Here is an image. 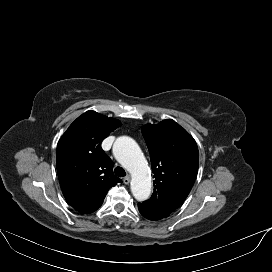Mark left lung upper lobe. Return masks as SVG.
<instances>
[{"mask_svg": "<svg viewBox=\"0 0 272 272\" xmlns=\"http://www.w3.org/2000/svg\"><path fill=\"white\" fill-rule=\"evenodd\" d=\"M142 135L155 180L151 198L138 205L166 218L191 191L199 166L198 147L193 137L172 119L145 125Z\"/></svg>", "mask_w": 272, "mask_h": 272, "instance_id": "left-lung-upper-lobe-1", "label": "left lung upper lobe"}]
</instances>
